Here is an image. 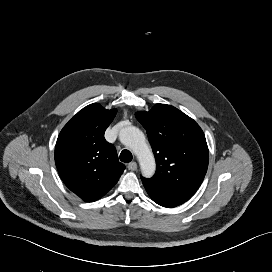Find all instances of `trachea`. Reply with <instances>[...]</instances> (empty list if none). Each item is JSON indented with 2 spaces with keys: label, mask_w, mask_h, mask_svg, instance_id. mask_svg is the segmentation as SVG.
<instances>
[{
  "label": "trachea",
  "mask_w": 272,
  "mask_h": 272,
  "mask_svg": "<svg viewBox=\"0 0 272 272\" xmlns=\"http://www.w3.org/2000/svg\"><path fill=\"white\" fill-rule=\"evenodd\" d=\"M120 160L125 163L131 162L132 161V153L129 150L124 149L120 153Z\"/></svg>",
  "instance_id": "trachea-1"
}]
</instances>
